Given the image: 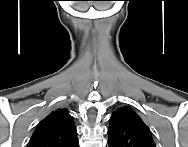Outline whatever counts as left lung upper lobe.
<instances>
[{
	"label": "left lung upper lobe",
	"mask_w": 188,
	"mask_h": 147,
	"mask_svg": "<svg viewBox=\"0 0 188 147\" xmlns=\"http://www.w3.org/2000/svg\"><path fill=\"white\" fill-rule=\"evenodd\" d=\"M108 135V144L111 147H156L148 127L127 106L113 112Z\"/></svg>",
	"instance_id": "5c2ea615"
}]
</instances>
